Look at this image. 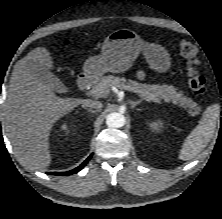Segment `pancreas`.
<instances>
[{
    "label": "pancreas",
    "instance_id": "1",
    "mask_svg": "<svg viewBox=\"0 0 222 219\" xmlns=\"http://www.w3.org/2000/svg\"><path fill=\"white\" fill-rule=\"evenodd\" d=\"M132 87L136 93L141 97L152 102H159L163 99L165 102H172L174 105L184 108L191 116H195L201 112V107L197 103L193 102L191 98L184 95L182 91H178L172 85H159V84H143L137 81L127 80L125 78H119L113 75L102 77L101 80L95 84L93 90L101 88L105 92H109L110 86L122 88L124 85ZM99 97H102L99 95Z\"/></svg>",
    "mask_w": 222,
    "mask_h": 219
}]
</instances>
